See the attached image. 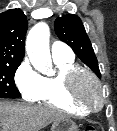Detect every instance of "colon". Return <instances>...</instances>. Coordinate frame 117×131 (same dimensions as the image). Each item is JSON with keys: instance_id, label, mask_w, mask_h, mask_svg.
<instances>
[{"instance_id": "1", "label": "colon", "mask_w": 117, "mask_h": 131, "mask_svg": "<svg viewBox=\"0 0 117 131\" xmlns=\"http://www.w3.org/2000/svg\"><path fill=\"white\" fill-rule=\"evenodd\" d=\"M84 131H96V129L93 126H87Z\"/></svg>"}]
</instances>
